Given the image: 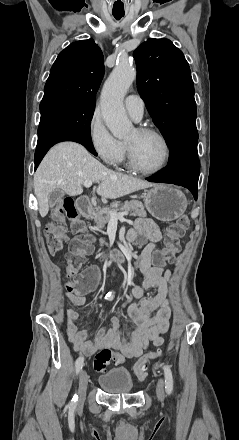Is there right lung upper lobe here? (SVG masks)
Masks as SVG:
<instances>
[{
	"label": "right lung upper lobe",
	"mask_w": 239,
	"mask_h": 440,
	"mask_svg": "<svg viewBox=\"0 0 239 440\" xmlns=\"http://www.w3.org/2000/svg\"><path fill=\"white\" fill-rule=\"evenodd\" d=\"M103 76V53L93 39L71 43L54 62L41 103L73 100L95 107Z\"/></svg>",
	"instance_id": "1"
}]
</instances>
